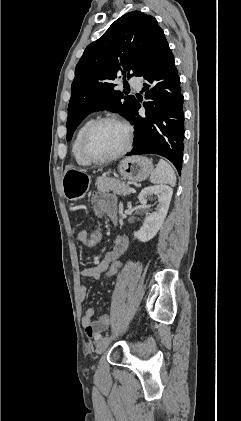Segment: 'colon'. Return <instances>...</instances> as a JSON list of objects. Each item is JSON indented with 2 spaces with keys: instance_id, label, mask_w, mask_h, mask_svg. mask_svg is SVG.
<instances>
[{
  "instance_id": "5ec220e1",
  "label": "colon",
  "mask_w": 241,
  "mask_h": 421,
  "mask_svg": "<svg viewBox=\"0 0 241 421\" xmlns=\"http://www.w3.org/2000/svg\"><path fill=\"white\" fill-rule=\"evenodd\" d=\"M102 239V230L100 227H95L90 232L85 240V246L88 248L97 247ZM123 268V262L120 260L113 261L104 271V278H112L120 274Z\"/></svg>"
}]
</instances>
